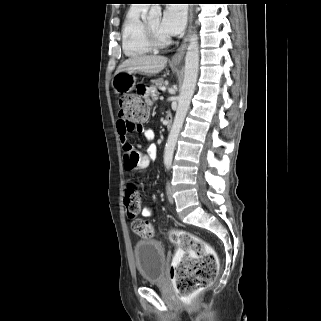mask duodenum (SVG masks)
Here are the masks:
<instances>
[{"instance_id":"410a0bca","label":"duodenum","mask_w":321,"mask_h":321,"mask_svg":"<svg viewBox=\"0 0 321 321\" xmlns=\"http://www.w3.org/2000/svg\"><path fill=\"white\" fill-rule=\"evenodd\" d=\"M165 126L167 129H170L172 127V117L170 115H167L165 118Z\"/></svg>"}]
</instances>
